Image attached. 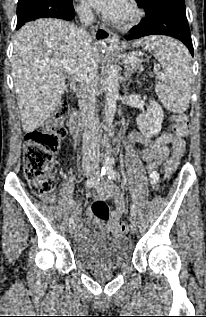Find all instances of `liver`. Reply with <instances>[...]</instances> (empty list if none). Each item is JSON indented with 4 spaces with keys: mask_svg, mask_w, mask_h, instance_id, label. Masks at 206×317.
Here are the masks:
<instances>
[{
    "mask_svg": "<svg viewBox=\"0 0 206 317\" xmlns=\"http://www.w3.org/2000/svg\"><path fill=\"white\" fill-rule=\"evenodd\" d=\"M78 31L65 21L40 19L17 32L12 76L25 132L34 131L51 116L66 89L62 70L47 60H68L81 69L83 57L77 42ZM93 44L98 62V47Z\"/></svg>",
    "mask_w": 206,
    "mask_h": 317,
    "instance_id": "liver-1",
    "label": "liver"
}]
</instances>
